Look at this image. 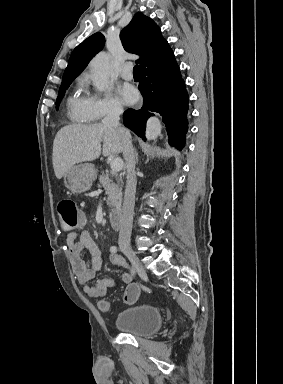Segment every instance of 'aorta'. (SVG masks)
<instances>
[{
    "instance_id": "762f6f07",
    "label": "aorta",
    "mask_w": 283,
    "mask_h": 384,
    "mask_svg": "<svg viewBox=\"0 0 283 384\" xmlns=\"http://www.w3.org/2000/svg\"><path fill=\"white\" fill-rule=\"evenodd\" d=\"M110 56L108 53L100 52L91 61L92 81L98 91H105L109 85ZM161 133V123L156 117L147 121L146 137L155 140Z\"/></svg>"
}]
</instances>
